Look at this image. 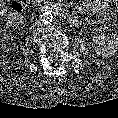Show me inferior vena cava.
<instances>
[{"mask_svg": "<svg viewBox=\"0 0 118 118\" xmlns=\"http://www.w3.org/2000/svg\"><path fill=\"white\" fill-rule=\"evenodd\" d=\"M36 23H37L38 25H40V24H41L40 20H37V21H36Z\"/></svg>", "mask_w": 118, "mask_h": 118, "instance_id": "1", "label": "inferior vena cava"}]
</instances>
